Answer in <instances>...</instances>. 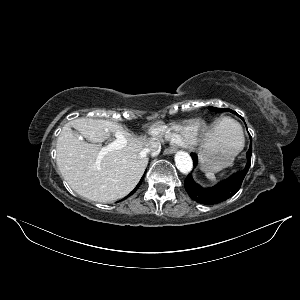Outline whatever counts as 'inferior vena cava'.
<instances>
[{
	"label": "inferior vena cava",
	"mask_w": 300,
	"mask_h": 300,
	"mask_svg": "<svg viewBox=\"0 0 300 300\" xmlns=\"http://www.w3.org/2000/svg\"><path fill=\"white\" fill-rule=\"evenodd\" d=\"M160 150H161L160 142L156 140H150L148 146L139 152L138 158L146 159V155L150 152L153 154V156H156L159 154Z\"/></svg>",
	"instance_id": "obj_1"
}]
</instances>
